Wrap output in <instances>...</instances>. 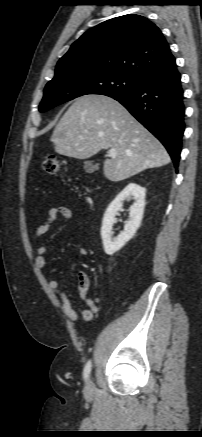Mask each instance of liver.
Instances as JSON below:
<instances>
[{"mask_svg": "<svg viewBox=\"0 0 202 437\" xmlns=\"http://www.w3.org/2000/svg\"><path fill=\"white\" fill-rule=\"evenodd\" d=\"M51 141L61 155L87 159L116 150L104 162L105 177L118 182L170 162L164 146L119 102L104 95L77 98L56 125Z\"/></svg>", "mask_w": 202, "mask_h": 437, "instance_id": "1", "label": "liver"}]
</instances>
